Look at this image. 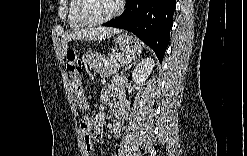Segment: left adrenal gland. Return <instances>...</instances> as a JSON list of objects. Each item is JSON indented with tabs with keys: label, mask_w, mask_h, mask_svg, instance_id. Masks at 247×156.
<instances>
[{
	"label": "left adrenal gland",
	"mask_w": 247,
	"mask_h": 156,
	"mask_svg": "<svg viewBox=\"0 0 247 156\" xmlns=\"http://www.w3.org/2000/svg\"><path fill=\"white\" fill-rule=\"evenodd\" d=\"M135 59H136V58H134V59H133V62H131L129 65H126V66H125V68H124V70H123V73H124L125 71H127V69H130V67H131L133 64H135Z\"/></svg>",
	"instance_id": "obj_1"
}]
</instances>
